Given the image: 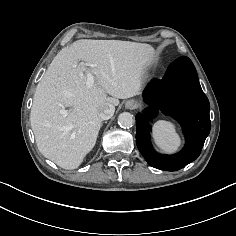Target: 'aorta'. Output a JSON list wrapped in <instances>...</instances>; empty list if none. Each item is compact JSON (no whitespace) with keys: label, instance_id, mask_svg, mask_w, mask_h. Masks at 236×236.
<instances>
[{"label":"aorta","instance_id":"obj_1","mask_svg":"<svg viewBox=\"0 0 236 236\" xmlns=\"http://www.w3.org/2000/svg\"><path fill=\"white\" fill-rule=\"evenodd\" d=\"M118 124L123 128H130L134 125L133 115L129 112H123L118 116Z\"/></svg>","mask_w":236,"mask_h":236}]
</instances>
